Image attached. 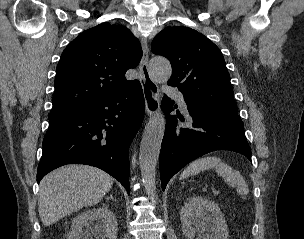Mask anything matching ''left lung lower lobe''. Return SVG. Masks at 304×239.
<instances>
[{
	"instance_id": "obj_1",
	"label": "left lung lower lobe",
	"mask_w": 304,
	"mask_h": 239,
	"mask_svg": "<svg viewBox=\"0 0 304 239\" xmlns=\"http://www.w3.org/2000/svg\"><path fill=\"white\" fill-rule=\"evenodd\" d=\"M174 101L164 97L161 108L166 129L160 151V178L163 191L168 181L192 160L216 150H230L251 160V149L244 134V124L237 114L195 107L187 104L193 123L179 126V115H170Z\"/></svg>"
}]
</instances>
